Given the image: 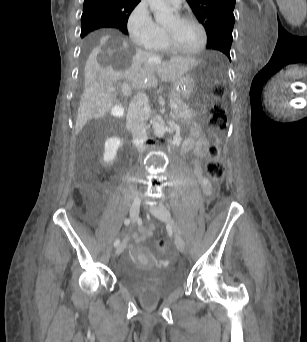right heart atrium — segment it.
<instances>
[{
	"mask_svg": "<svg viewBox=\"0 0 307 342\" xmlns=\"http://www.w3.org/2000/svg\"><path fill=\"white\" fill-rule=\"evenodd\" d=\"M126 27L132 43L148 47L159 43L162 34L155 25L149 10L138 5L128 16Z\"/></svg>",
	"mask_w": 307,
	"mask_h": 342,
	"instance_id": "right-heart-atrium-1",
	"label": "right heart atrium"
}]
</instances>
